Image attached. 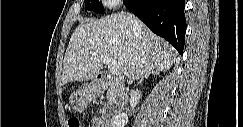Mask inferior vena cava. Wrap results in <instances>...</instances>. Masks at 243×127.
Listing matches in <instances>:
<instances>
[{"label":"inferior vena cava","mask_w":243,"mask_h":127,"mask_svg":"<svg viewBox=\"0 0 243 127\" xmlns=\"http://www.w3.org/2000/svg\"><path fill=\"white\" fill-rule=\"evenodd\" d=\"M134 26L137 27L138 26V21L136 19H134ZM135 80L134 76H128V83H132Z\"/></svg>","instance_id":"inferior-vena-cava-1"}]
</instances>
